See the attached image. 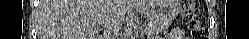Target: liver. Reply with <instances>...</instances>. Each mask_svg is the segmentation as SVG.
Instances as JSON below:
<instances>
[{"instance_id":"obj_1","label":"liver","mask_w":249,"mask_h":39,"mask_svg":"<svg viewBox=\"0 0 249 39\" xmlns=\"http://www.w3.org/2000/svg\"><path fill=\"white\" fill-rule=\"evenodd\" d=\"M125 0H41L39 39H96L101 27L122 24Z\"/></svg>"}]
</instances>
